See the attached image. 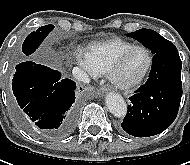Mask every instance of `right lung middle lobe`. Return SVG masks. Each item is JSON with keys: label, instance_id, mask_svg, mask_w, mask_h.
Returning <instances> with one entry per match:
<instances>
[{"label": "right lung middle lobe", "instance_id": "right-lung-middle-lobe-1", "mask_svg": "<svg viewBox=\"0 0 190 165\" xmlns=\"http://www.w3.org/2000/svg\"><path fill=\"white\" fill-rule=\"evenodd\" d=\"M53 28L54 26L49 24L42 26L37 31L30 33L23 42L22 52L27 56L32 54L40 46L49 32L53 30Z\"/></svg>", "mask_w": 190, "mask_h": 165}]
</instances>
